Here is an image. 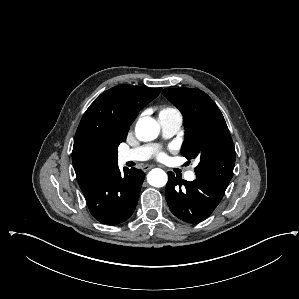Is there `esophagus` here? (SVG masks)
I'll return each mask as SVG.
<instances>
[{"label": "esophagus", "instance_id": "1", "mask_svg": "<svg viewBox=\"0 0 299 299\" xmlns=\"http://www.w3.org/2000/svg\"><path fill=\"white\" fill-rule=\"evenodd\" d=\"M151 168H153L152 165H144V166L142 167V170H143L144 172H147V171H149Z\"/></svg>", "mask_w": 299, "mask_h": 299}]
</instances>
